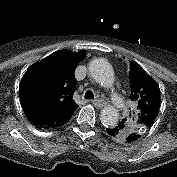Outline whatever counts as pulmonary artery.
Masks as SVG:
<instances>
[{
  "label": "pulmonary artery",
  "instance_id": "obj_1",
  "mask_svg": "<svg viewBox=\"0 0 177 177\" xmlns=\"http://www.w3.org/2000/svg\"><path fill=\"white\" fill-rule=\"evenodd\" d=\"M111 99H112L113 104L116 107H118V108H122L123 107V102L121 101V99L115 98V93L112 94Z\"/></svg>",
  "mask_w": 177,
  "mask_h": 177
}]
</instances>
